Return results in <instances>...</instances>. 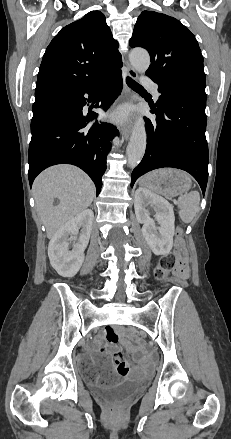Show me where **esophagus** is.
<instances>
[{
	"mask_svg": "<svg viewBox=\"0 0 231 439\" xmlns=\"http://www.w3.org/2000/svg\"><path fill=\"white\" fill-rule=\"evenodd\" d=\"M127 75L132 79H137L136 71L130 66H128V68H127ZM125 90H126L127 99L130 102H135L136 95L134 94V92L130 91L126 85H125ZM131 130H132V121L130 119L127 120L126 122L122 123L121 133L126 139L129 137Z\"/></svg>",
	"mask_w": 231,
	"mask_h": 439,
	"instance_id": "34e87169",
	"label": "esophagus"
}]
</instances>
